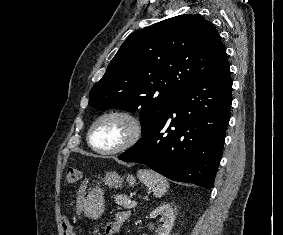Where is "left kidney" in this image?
Instances as JSON below:
<instances>
[{
    "label": "left kidney",
    "mask_w": 283,
    "mask_h": 235,
    "mask_svg": "<svg viewBox=\"0 0 283 235\" xmlns=\"http://www.w3.org/2000/svg\"><path fill=\"white\" fill-rule=\"evenodd\" d=\"M157 216H160V221L163 223L159 227L157 235H169L175 220L174 211L171 205L162 204L150 213L151 219L156 218Z\"/></svg>",
    "instance_id": "5707ae66"
}]
</instances>
